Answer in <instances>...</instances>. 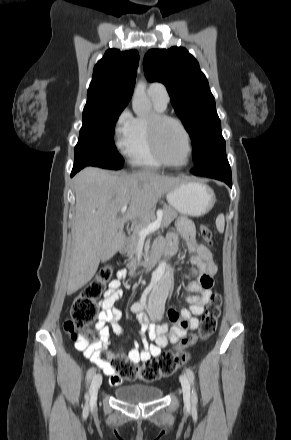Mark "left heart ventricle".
I'll return each instance as SVG.
<instances>
[{"label":"left heart ventricle","mask_w":291,"mask_h":440,"mask_svg":"<svg viewBox=\"0 0 291 440\" xmlns=\"http://www.w3.org/2000/svg\"><path fill=\"white\" fill-rule=\"evenodd\" d=\"M159 146L164 158L172 163L186 159L187 144L181 129L173 122H166L159 130Z\"/></svg>","instance_id":"b2bd125f"}]
</instances>
